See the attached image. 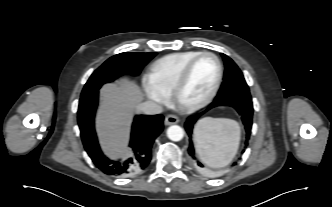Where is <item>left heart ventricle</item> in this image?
Returning a JSON list of instances; mask_svg holds the SVG:
<instances>
[{"instance_id": "b2bd125f", "label": "left heart ventricle", "mask_w": 332, "mask_h": 207, "mask_svg": "<svg viewBox=\"0 0 332 207\" xmlns=\"http://www.w3.org/2000/svg\"><path fill=\"white\" fill-rule=\"evenodd\" d=\"M217 76L216 61L205 56L194 65L182 98L187 103L203 99L212 89Z\"/></svg>"}]
</instances>
